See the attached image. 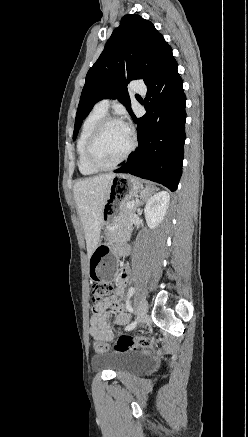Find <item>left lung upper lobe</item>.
Listing matches in <instances>:
<instances>
[{
	"mask_svg": "<svg viewBox=\"0 0 248 437\" xmlns=\"http://www.w3.org/2000/svg\"><path fill=\"white\" fill-rule=\"evenodd\" d=\"M173 60L171 47L150 21L136 14L125 15L86 75L73 140L92 107L104 98H118L133 116L128 83L143 79L148 84Z\"/></svg>",
	"mask_w": 248,
	"mask_h": 437,
	"instance_id": "left-lung-upper-lobe-1",
	"label": "left lung upper lobe"
}]
</instances>
